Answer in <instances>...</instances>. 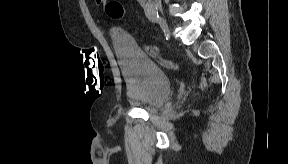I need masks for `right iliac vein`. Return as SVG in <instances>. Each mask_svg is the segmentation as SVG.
<instances>
[{
  "label": "right iliac vein",
  "instance_id": "1",
  "mask_svg": "<svg viewBox=\"0 0 288 164\" xmlns=\"http://www.w3.org/2000/svg\"><path fill=\"white\" fill-rule=\"evenodd\" d=\"M159 22H160L165 34L167 36H169V27H168L166 21L162 17H160Z\"/></svg>",
  "mask_w": 288,
  "mask_h": 164
}]
</instances>
